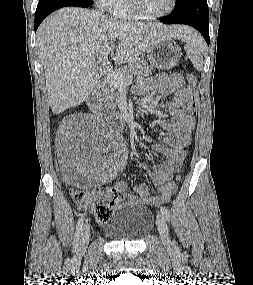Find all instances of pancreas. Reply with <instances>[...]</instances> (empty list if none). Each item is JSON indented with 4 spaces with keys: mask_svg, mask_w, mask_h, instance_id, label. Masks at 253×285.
Returning <instances> with one entry per match:
<instances>
[{
    "mask_svg": "<svg viewBox=\"0 0 253 285\" xmlns=\"http://www.w3.org/2000/svg\"><path fill=\"white\" fill-rule=\"evenodd\" d=\"M154 67L141 61H134L117 72L123 77L127 75L142 77L152 75ZM118 85L113 84L109 79L104 80L100 87V98L103 105L109 110H116V103L119 97Z\"/></svg>",
    "mask_w": 253,
    "mask_h": 285,
    "instance_id": "pancreas-1",
    "label": "pancreas"
}]
</instances>
